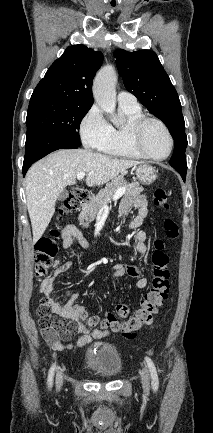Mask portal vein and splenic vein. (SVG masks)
<instances>
[{"mask_svg":"<svg viewBox=\"0 0 213 433\" xmlns=\"http://www.w3.org/2000/svg\"><path fill=\"white\" fill-rule=\"evenodd\" d=\"M85 175H86L85 172L79 173V174H77V179H78V180H82V179L85 177ZM125 191H126V189H125L124 187L119 188V189L115 192V194H114V196H113V200H114V201L118 200V199H119V198H120V197L125 193ZM103 207H104V208H107V203H105Z\"/></svg>","mask_w":213,"mask_h":433,"instance_id":"obj_1","label":"portal vein and splenic vein"}]
</instances>
